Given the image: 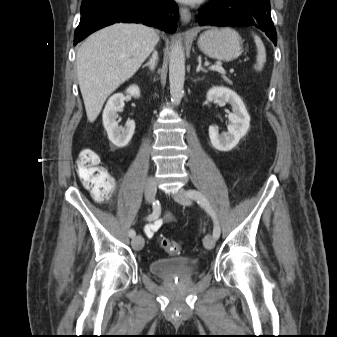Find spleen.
<instances>
[{
  "label": "spleen",
  "mask_w": 337,
  "mask_h": 337,
  "mask_svg": "<svg viewBox=\"0 0 337 337\" xmlns=\"http://www.w3.org/2000/svg\"><path fill=\"white\" fill-rule=\"evenodd\" d=\"M253 37L257 48L256 64L254 66V69L257 71H261L264 63L266 62V50L260 37L255 34H253Z\"/></svg>",
  "instance_id": "spleen-1"
}]
</instances>
